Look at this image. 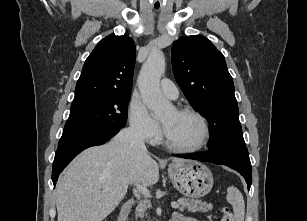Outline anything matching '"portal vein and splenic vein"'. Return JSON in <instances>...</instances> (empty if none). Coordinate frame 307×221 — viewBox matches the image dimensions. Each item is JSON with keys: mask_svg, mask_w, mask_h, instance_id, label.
<instances>
[{"mask_svg": "<svg viewBox=\"0 0 307 221\" xmlns=\"http://www.w3.org/2000/svg\"><path fill=\"white\" fill-rule=\"evenodd\" d=\"M136 188L146 197H150V191L145 187L142 186L141 184L137 183ZM172 208L177 209L179 207V204L177 202H172L171 203Z\"/></svg>", "mask_w": 307, "mask_h": 221, "instance_id": "1", "label": "portal vein and splenic vein"}]
</instances>
